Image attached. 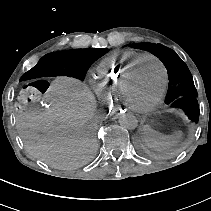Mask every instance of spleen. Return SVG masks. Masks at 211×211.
<instances>
[{"instance_id": "spleen-1", "label": "spleen", "mask_w": 211, "mask_h": 211, "mask_svg": "<svg viewBox=\"0 0 211 211\" xmlns=\"http://www.w3.org/2000/svg\"><path fill=\"white\" fill-rule=\"evenodd\" d=\"M146 141L152 146V145H155L156 143H158V141L155 139V140H151L149 138H146Z\"/></svg>"}]
</instances>
